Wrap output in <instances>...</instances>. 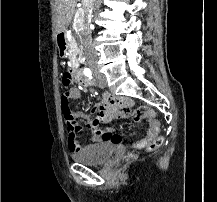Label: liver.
<instances>
[{
    "label": "liver",
    "mask_w": 217,
    "mask_h": 202,
    "mask_svg": "<svg viewBox=\"0 0 217 202\" xmlns=\"http://www.w3.org/2000/svg\"><path fill=\"white\" fill-rule=\"evenodd\" d=\"M77 0H55L57 14V34L65 32L75 12Z\"/></svg>",
    "instance_id": "6515ba94"
}]
</instances>
